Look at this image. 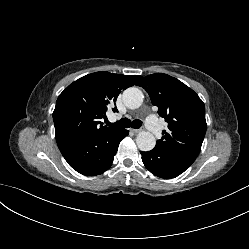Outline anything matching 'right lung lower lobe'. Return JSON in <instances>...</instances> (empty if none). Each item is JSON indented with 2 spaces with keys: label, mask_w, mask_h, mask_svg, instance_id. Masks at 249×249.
I'll return each instance as SVG.
<instances>
[{
  "label": "right lung lower lobe",
  "mask_w": 249,
  "mask_h": 249,
  "mask_svg": "<svg viewBox=\"0 0 249 249\" xmlns=\"http://www.w3.org/2000/svg\"><path fill=\"white\" fill-rule=\"evenodd\" d=\"M128 133L126 129H117L95 137H63L56 141L63 157L74 170L95 176L110 168L120 141Z\"/></svg>",
  "instance_id": "1"
}]
</instances>
